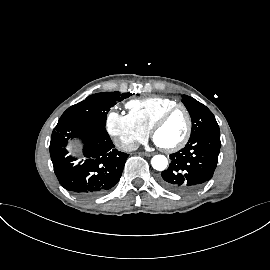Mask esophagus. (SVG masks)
<instances>
[{
	"instance_id": "obj_1",
	"label": "esophagus",
	"mask_w": 270,
	"mask_h": 270,
	"mask_svg": "<svg viewBox=\"0 0 270 270\" xmlns=\"http://www.w3.org/2000/svg\"><path fill=\"white\" fill-rule=\"evenodd\" d=\"M143 154H144L145 156H147V157H150V156L153 155V153H149V152H144Z\"/></svg>"
}]
</instances>
